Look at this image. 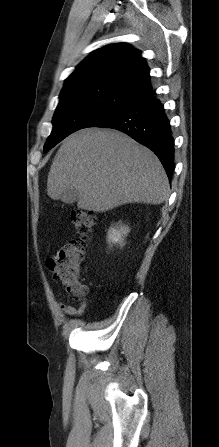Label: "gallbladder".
<instances>
[{
	"mask_svg": "<svg viewBox=\"0 0 219 447\" xmlns=\"http://www.w3.org/2000/svg\"><path fill=\"white\" fill-rule=\"evenodd\" d=\"M78 195L75 189L69 188L64 196H62L61 201L66 204H73L77 201Z\"/></svg>",
	"mask_w": 219,
	"mask_h": 447,
	"instance_id": "bac80fb5",
	"label": "gallbladder"
}]
</instances>
